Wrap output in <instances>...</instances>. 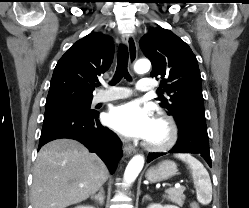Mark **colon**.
<instances>
[{
    "instance_id": "colon-1",
    "label": "colon",
    "mask_w": 249,
    "mask_h": 208,
    "mask_svg": "<svg viewBox=\"0 0 249 208\" xmlns=\"http://www.w3.org/2000/svg\"><path fill=\"white\" fill-rule=\"evenodd\" d=\"M191 208H199V207H198V205L196 203H192Z\"/></svg>"
}]
</instances>
